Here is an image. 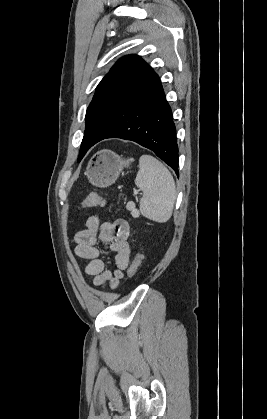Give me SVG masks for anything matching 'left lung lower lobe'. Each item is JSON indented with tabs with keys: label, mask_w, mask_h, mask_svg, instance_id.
I'll return each mask as SVG.
<instances>
[{
	"label": "left lung lower lobe",
	"mask_w": 267,
	"mask_h": 419,
	"mask_svg": "<svg viewBox=\"0 0 267 419\" xmlns=\"http://www.w3.org/2000/svg\"><path fill=\"white\" fill-rule=\"evenodd\" d=\"M109 123V132L103 130L93 138L89 136L88 148L107 138L131 140L152 150L178 175L175 124L158 76L138 92L126 110L114 112L109 117Z\"/></svg>",
	"instance_id": "0a47b994"
}]
</instances>
